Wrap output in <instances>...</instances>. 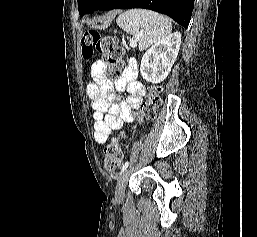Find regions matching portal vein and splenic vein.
<instances>
[{"mask_svg": "<svg viewBox=\"0 0 257 237\" xmlns=\"http://www.w3.org/2000/svg\"><path fill=\"white\" fill-rule=\"evenodd\" d=\"M130 46L131 47H136L137 46V40L130 41Z\"/></svg>", "mask_w": 257, "mask_h": 237, "instance_id": "1", "label": "portal vein and splenic vein"}]
</instances>
